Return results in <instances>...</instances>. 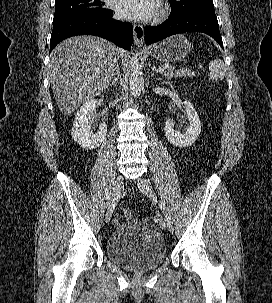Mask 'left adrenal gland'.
<instances>
[{
  "label": "left adrenal gland",
  "instance_id": "1",
  "mask_svg": "<svg viewBox=\"0 0 272 303\" xmlns=\"http://www.w3.org/2000/svg\"><path fill=\"white\" fill-rule=\"evenodd\" d=\"M152 76H153V74H152ZM157 80H161L162 78H156Z\"/></svg>",
  "mask_w": 272,
  "mask_h": 303
}]
</instances>
